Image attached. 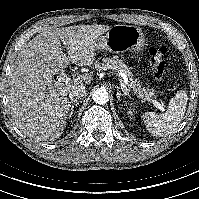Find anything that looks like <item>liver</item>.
Listing matches in <instances>:
<instances>
[{
  "label": "liver",
  "instance_id": "1",
  "mask_svg": "<svg viewBox=\"0 0 199 199\" xmlns=\"http://www.w3.org/2000/svg\"><path fill=\"white\" fill-rule=\"evenodd\" d=\"M110 28L80 25L46 29L23 46L11 66L6 92L11 116L26 136L47 141L62 135L71 108L69 91L76 85H89L93 76L85 73L62 81L55 75H61L70 62L81 67L93 65L96 40Z\"/></svg>",
  "mask_w": 199,
  "mask_h": 199
}]
</instances>
